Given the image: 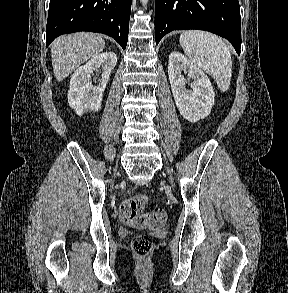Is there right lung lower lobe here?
<instances>
[{"label":"right lung lower lobe","mask_w":288,"mask_h":293,"mask_svg":"<svg viewBox=\"0 0 288 293\" xmlns=\"http://www.w3.org/2000/svg\"><path fill=\"white\" fill-rule=\"evenodd\" d=\"M132 0H50L46 46L78 31L103 33L126 48Z\"/></svg>","instance_id":"98d812e1"}]
</instances>
